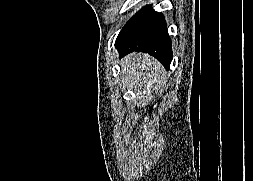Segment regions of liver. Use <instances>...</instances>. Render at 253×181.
Listing matches in <instances>:
<instances>
[{
  "label": "liver",
  "instance_id": "obj_1",
  "mask_svg": "<svg viewBox=\"0 0 253 181\" xmlns=\"http://www.w3.org/2000/svg\"><path fill=\"white\" fill-rule=\"evenodd\" d=\"M120 65L124 84L140 94H149L166 81L163 66L148 54H129Z\"/></svg>",
  "mask_w": 253,
  "mask_h": 181
}]
</instances>
